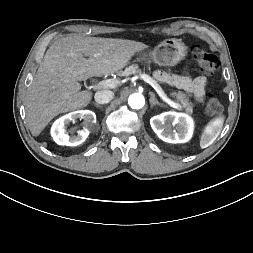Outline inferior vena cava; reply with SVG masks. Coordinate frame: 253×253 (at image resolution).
<instances>
[{"mask_svg": "<svg viewBox=\"0 0 253 253\" xmlns=\"http://www.w3.org/2000/svg\"><path fill=\"white\" fill-rule=\"evenodd\" d=\"M114 98V93L110 90H101L95 93L94 99L98 104H107Z\"/></svg>", "mask_w": 253, "mask_h": 253, "instance_id": "inferior-vena-cava-1", "label": "inferior vena cava"}]
</instances>
